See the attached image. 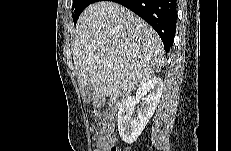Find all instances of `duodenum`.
I'll use <instances>...</instances> for the list:
<instances>
[{"label":"duodenum","mask_w":231,"mask_h":151,"mask_svg":"<svg viewBox=\"0 0 231 151\" xmlns=\"http://www.w3.org/2000/svg\"><path fill=\"white\" fill-rule=\"evenodd\" d=\"M115 105L116 106H120L121 105V101H115Z\"/></svg>","instance_id":"410a0bca"}]
</instances>
